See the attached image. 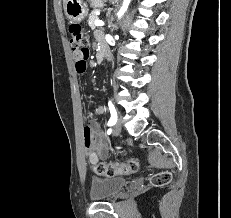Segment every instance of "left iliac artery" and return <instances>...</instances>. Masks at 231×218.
Segmentation results:
<instances>
[{
  "instance_id": "obj_1",
  "label": "left iliac artery",
  "mask_w": 231,
  "mask_h": 218,
  "mask_svg": "<svg viewBox=\"0 0 231 218\" xmlns=\"http://www.w3.org/2000/svg\"><path fill=\"white\" fill-rule=\"evenodd\" d=\"M108 106H109V110L111 113L110 120L108 121V126H111L117 122V112H116L115 107L111 101H109Z\"/></svg>"
}]
</instances>
